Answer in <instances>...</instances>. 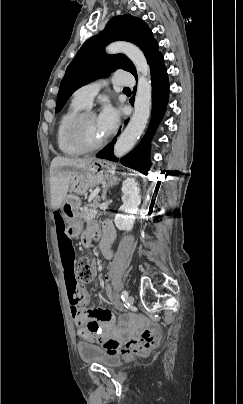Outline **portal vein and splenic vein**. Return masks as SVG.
Instances as JSON below:
<instances>
[{"mask_svg": "<svg viewBox=\"0 0 243 404\" xmlns=\"http://www.w3.org/2000/svg\"><path fill=\"white\" fill-rule=\"evenodd\" d=\"M99 192H100V188H96V190H94V192H91L88 202H91V200H93V198H95V196H97V194H99Z\"/></svg>", "mask_w": 243, "mask_h": 404, "instance_id": "18ae733b", "label": "portal vein and splenic vein"}]
</instances>
